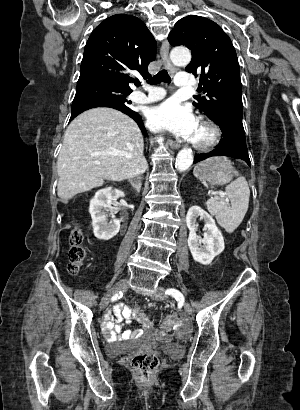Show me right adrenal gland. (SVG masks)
Segmentation results:
<instances>
[{
    "mask_svg": "<svg viewBox=\"0 0 300 410\" xmlns=\"http://www.w3.org/2000/svg\"><path fill=\"white\" fill-rule=\"evenodd\" d=\"M128 182L130 183V185L132 186V188H133L137 193H140V191H141V186H142L141 181L135 182V181H133L132 179H128Z\"/></svg>",
    "mask_w": 300,
    "mask_h": 410,
    "instance_id": "2a0ac1e0",
    "label": "right adrenal gland"
}]
</instances>
